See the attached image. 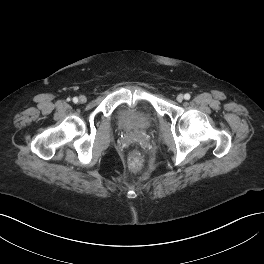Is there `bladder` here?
Returning a JSON list of instances; mask_svg holds the SVG:
<instances>
[{"mask_svg":"<svg viewBox=\"0 0 264 264\" xmlns=\"http://www.w3.org/2000/svg\"><path fill=\"white\" fill-rule=\"evenodd\" d=\"M153 123V112L145 106L125 107L118 113V124L123 130H144Z\"/></svg>","mask_w":264,"mask_h":264,"instance_id":"31cf9c89","label":"bladder"}]
</instances>
